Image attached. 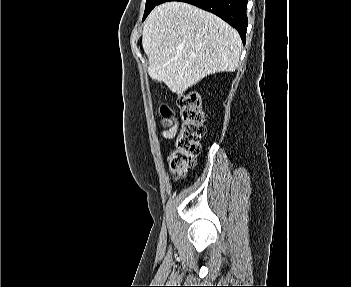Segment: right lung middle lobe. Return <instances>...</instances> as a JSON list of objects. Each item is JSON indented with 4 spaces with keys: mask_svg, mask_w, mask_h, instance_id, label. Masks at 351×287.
I'll return each instance as SVG.
<instances>
[{
    "mask_svg": "<svg viewBox=\"0 0 351 287\" xmlns=\"http://www.w3.org/2000/svg\"><path fill=\"white\" fill-rule=\"evenodd\" d=\"M160 0H146L145 12L143 16V20L148 16V14L152 11V9L158 5Z\"/></svg>",
    "mask_w": 351,
    "mask_h": 287,
    "instance_id": "1",
    "label": "right lung middle lobe"
}]
</instances>
